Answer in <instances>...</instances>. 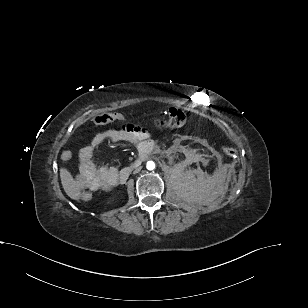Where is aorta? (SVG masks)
Returning <instances> with one entry per match:
<instances>
[{
	"instance_id": "aorta-1",
	"label": "aorta",
	"mask_w": 308,
	"mask_h": 308,
	"mask_svg": "<svg viewBox=\"0 0 308 308\" xmlns=\"http://www.w3.org/2000/svg\"><path fill=\"white\" fill-rule=\"evenodd\" d=\"M146 167L148 170H153L155 168V163L153 161H148Z\"/></svg>"
}]
</instances>
